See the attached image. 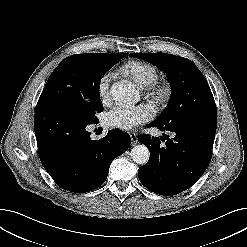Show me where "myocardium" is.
Listing matches in <instances>:
<instances>
[{"mask_svg": "<svg viewBox=\"0 0 247 247\" xmlns=\"http://www.w3.org/2000/svg\"><path fill=\"white\" fill-rule=\"evenodd\" d=\"M172 95V87L167 82L154 83L150 87V96L157 104H165Z\"/></svg>", "mask_w": 247, "mask_h": 247, "instance_id": "myocardium-1", "label": "myocardium"}]
</instances>
